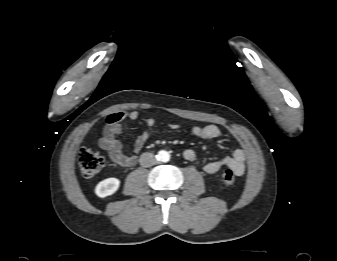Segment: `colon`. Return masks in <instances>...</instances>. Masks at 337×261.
Returning a JSON list of instances; mask_svg holds the SVG:
<instances>
[{"instance_id":"5ec220e1","label":"colon","mask_w":337,"mask_h":261,"mask_svg":"<svg viewBox=\"0 0 337 261\" xmlns=\"http://www.w3.org/2000/svg\"><path fill=\"white\" fill-rule=\"evenodd\" d=\"M78 163L81 174L90 178L95 176L104 164L101 153L92 148H82L78 154ZM221 180L226 185H232L235 182V175L232 170H225L221 174Z\"/></svg>"}]
</instances>
